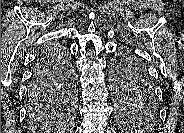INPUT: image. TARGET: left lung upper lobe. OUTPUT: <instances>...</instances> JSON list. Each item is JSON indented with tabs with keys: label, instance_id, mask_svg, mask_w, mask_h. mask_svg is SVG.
<instances>
[{
	"label": "left lung upper lobe",
	"instance_id": "1",
	"mask_svg": "<svg viewBox=\"0 0 184 133\" xmlns=\"http://www.w3.org/2000/svg\"><path fill=\"white\" fill-rule=\"evenodd\" d=\"M116 99L124 118L150 123L158 116L155 93L142 62L129 53L120 54L112 63ZM144 83L152 89L149 95H138L135 86Z\"/></svg>",
	"mask_w": 184,
	"mask_h": 133
}]
</instances>
